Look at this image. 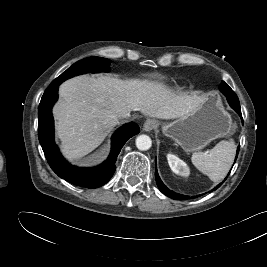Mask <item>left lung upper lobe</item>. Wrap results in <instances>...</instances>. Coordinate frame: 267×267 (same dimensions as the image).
Returning <instances> with one entry per match:
<instances>
[{
	"instance_id": "obj_1",
	"label": "left lung upper lobe",
	"mask_w": 267,
	"mask_h": 267,
	"mask_svg": "<svg viewBox=\"0 0 267 267\" xmlns=\"http://www.w3.org/2000/svg\"><path fill=\"white\" fill-rule=\"evenodd\" d=\"M220 87H222V88H223V87H226V88H227V87H229V86H228L224 81H222V83L220 84Z\"/></svg>"
}]
</instances>
